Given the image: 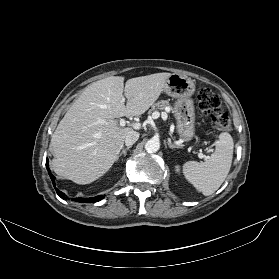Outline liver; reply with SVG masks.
Listing matches in <instances>:
<instances>
[{
    "label": "liver",
    "mask_w": 279,
    "mask_h": 279,
    "mask_svg": "<svg viewBox=\"0 0 279 279\" xmlns=\"http://www.w3.org/2000/svg\"><path fill=\"white\" fill-rule=\"evenodd\" d=\"M170 75L156 73L131 78L125 87L124 77L111 76L88 86L52 135L54 172L77 184H89L108 172L126 135L133 130L121 127L115 118L145 113L159 98Z\"/></svg>",
    "instance_id": "6515ba94"
}]
</instances>
